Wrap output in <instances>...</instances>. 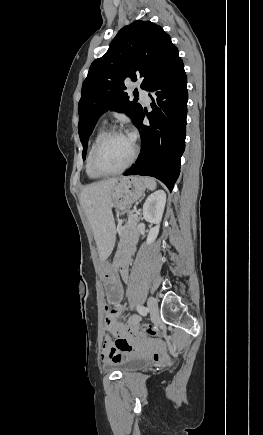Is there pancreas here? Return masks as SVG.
Listing matches in <instances>:
<instances>
[{
  "mask_svg": "<svg viewBox=\"0 0 263 435\" xmlns=\"http://www.w3.org/2000/svg\"><path fill=\"white\" fill-rule=\"evenodd\" d=\"M139 222L138 217H134L133 212L128 213V220L121 228V242H129L134 239H138L139 232L137 230V224Z\"/></svg>",
  "mask_w": 263,
  "mask_h": 435,
  "instance_id": "pancreas-1",
  "label": "pancreas"
}]
</instances>
